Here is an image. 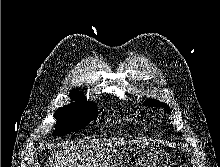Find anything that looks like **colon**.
<instances>
[{
	"label": "colon",
	"mask_w": 220,
	"mask_h": 167,
	"mask_svg": "<svg viewBox=\"0 0 220 167\" xmlns=\"http://www.w3.org/2000/svg\"><path fill=\"white\" fill-rule=\"evenodd\" d=\"M169 167H179V166H178V165H174V164H173V165H170Z\"/></svg>",
	"instance_id": "1"
}]
</instances>
